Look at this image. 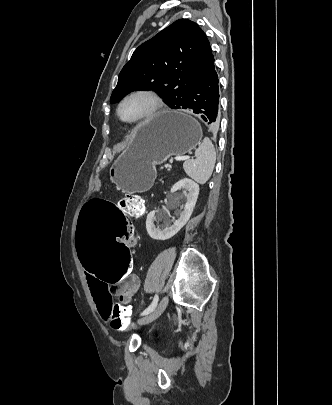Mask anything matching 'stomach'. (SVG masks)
<instances>
[{"mask_svg": "<svg viewBox=\"0 0 332 405\" xmlns=\"http://www.w3.org/2000/svg\"><path fill=\"white\" fill-rule=\"evenodd\" d=\"M202 139L199 122L187 111H163L138 124L127 149L109 170L121 191L135 193L150 188L155 166L171 156H183Z\"/></svg>", "mask_w": 332, "mask_h": 405, "instance_id": "stomach-1", "label": "stomach"}]
</instances>
